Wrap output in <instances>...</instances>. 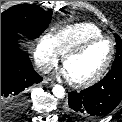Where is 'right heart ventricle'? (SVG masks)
<instances>
[{
	"mask_svg": "<svg viewBox=\"0 0 122 122\" xmlns=\"http://www.w3.org/2000/svg\"><path fill=\"white\" fill-rule=\"evenodd\" d=\"M102 35V31L96 25L82 22L63 26L57 29L52 37L59 54L63 55L81 42Z\"/></svg>",
	"mask_w": 122,
	"mask_h": 122,
	"instance_id": "right-heart-ventricle-1",
	"label": "right heart ventricle"
}]
</instances>
